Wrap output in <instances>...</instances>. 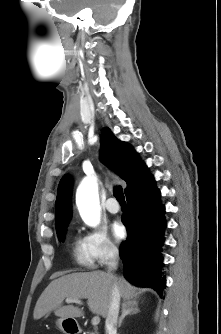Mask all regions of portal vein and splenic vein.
<instances>
[{"mask_svg": "<svg viewBox=\"0 0 221 334\" xmlns=\"http://www.w3.org/2000/svg\"><path fill=\"white\" fill-rule=\"evenodd\" d=\"M66 303H77L82 304L81 300L75 298H66ZM100 323V317L94 316L92 318V325H98Z\"/></svg>", "mask_w": 221, "mask_h": 334, "instance_id": "portal-vein-and-splenic-vein-1", "label": "portal vein and splenic vein"}]
</instances>
